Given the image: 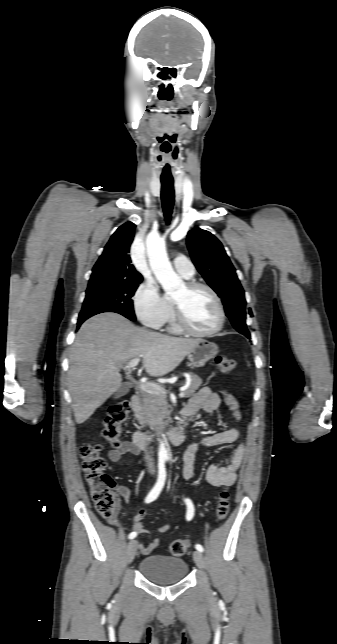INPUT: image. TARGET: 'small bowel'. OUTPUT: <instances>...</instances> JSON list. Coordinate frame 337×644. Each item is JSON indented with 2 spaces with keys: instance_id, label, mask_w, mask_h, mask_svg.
Instances as JSON below:
<instances>
[{
  "instance_id": "small-bowel-1",
  "label": "small bowel",
  "mask_w": 337,
  "mask_h": 644,
  "mask_svg": "<svg viewBox=\"0 0 337 644\" xmlns=\"http://www.w3.org/2000/svg\"><path fill=\"white\" fill-rule=\"evenodd\" d=\"M222 403L229 408L236 420L241 419V413L239 411V405L236 398L230 393L219 394L214 392L209 387L201 388L189 400L188 404L182 411V415L186 418H190L200 410H203L208 414H212ZM240 438L241 432L237 428H230L214 434L206 435L200 440V442L191 443L183 455V479L188 480L194 476L195 457L200 445L213 447L232 444L237 442ZM139 452V449L132 442L124 441L119 447L109 450L107 455L111 462L118 463L123 460L125 455H138ZM244 454L245 446L243 443H240L234 451L231 460L225 466H218L215 464L210 465L207 468L205 475L207 482L214 486L234 484L237 478V471L243 461ZM117 492L126 501L130 499L131 492L126 485L119 486L117 488ZM145 516L146 511L144 509H141L137 513L133 524L134 532L140 534L149 532L144 524ZM112 524L119 528L117 520H112ZM172 526L173 525L169 523L163 524L158 527V531L160 533H166L171 530ZM160 544L161 539L156 537L146 545L142 543L138 544V548L143 555H149L158 548Z\"/></svg>"
}]
</instances>
